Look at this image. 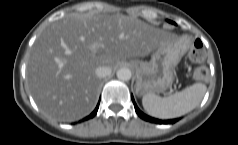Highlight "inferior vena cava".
Returning <instances> with one entry per match:
<instances>
[{"label":"inferior vena cava","instance_id":"602c4592","mask_svg":"<svg viewBox=\"0 0 238 145\" xmlns=\"http://www.w3.org/2000/svg\"><path fill=\"white\" fill-rule=\"evenodd\" d=\"M112 69L107 66H100L96 68L95 73L99 78L107 77L111 74Z\"/></svg>","mask_w":238,"mask_h":145}]
</instances>
